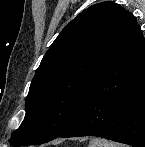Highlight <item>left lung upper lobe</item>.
<instances>
[{
    "instance_id": "obj_1",
    "label": "left lung upper lobe",
    "mask_w": 145,
    "mask_h": 147,
    "mask_svg": "<svg viewBox=\"0 0 145 147\" xmlns=\"http://www.w3.org/2000/svg\"><path fill=\"white\" fill-rule=\"evenodd\" d=\"M128 13L114 2H102L64 27L36 70L24 121L10 139L13 146L46 143L72 125Z\"/></svg>"
}]
</instances>
